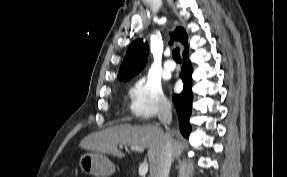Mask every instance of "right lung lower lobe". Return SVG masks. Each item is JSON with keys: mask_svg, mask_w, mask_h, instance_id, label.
<instances>
[{"mask_svg": "<svg viewBox=\"0 0 287 177\" xmlns=\"http://www.w3.org/2000/svg\"><path fill=\"white\" fill-rule=\"evenodd\" d=\"M188 45L184 48V64L180 73V77L184 83L183 92L179 95L173 96L174 106L176 108L179 126L181 133L188 137L191 132V125L189 124V118L191 115V106L193 100V94L191 89V75L192 66L188 60Z\"/></svg>", "mask_w": 287, "mask_h": 177, "instance_id": "98d812e1", "label": "right lung lower lobe"}]
</instances>
